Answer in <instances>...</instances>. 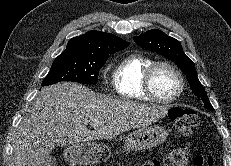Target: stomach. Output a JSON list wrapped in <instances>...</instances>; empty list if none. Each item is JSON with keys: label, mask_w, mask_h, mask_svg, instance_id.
Listing matches in <instances>:
<instances>
[{"label": "stomach", "mask_w": 231, "mask_h": 166, "mask_svg": "<svg viewBox=\"0 0 231 166\" xmlns=\"http://www.w3.org/2000/svg\"><path fill=\"white\" fill-rule=\"evenodd\" d=\"M168 132L160 126L142 127L125 137V151H142L163 143ZM111 156V150L104 144L82 142L65 149L64 157L80 165L98 164Z\"/></svg>", "instance_id": "1"}]
</instances>
